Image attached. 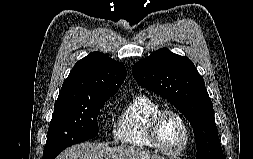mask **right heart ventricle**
<instances>
[{
    "instance_id": "1",
    "label": "right heart ventricle",
    "mask_w": 253,
    "mask_h": 159,
    "mask_svg": "<svg viewBox=\"0 0 253 159\" xmlns=\"http://www.w3.org/2000/svg\"><path fill=\"white\" fill-rule=\"evenodd\" d=\"M160 104L146 95H137L121 110L114 125L116 141L135 149H154L148 137V124Z\"/></svg>"
}]
</instances>
